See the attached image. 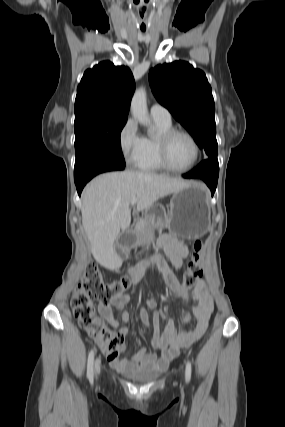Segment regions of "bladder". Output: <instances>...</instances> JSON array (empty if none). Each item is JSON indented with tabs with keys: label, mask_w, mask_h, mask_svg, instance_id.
I'll use <instances>...</instances> for the list:
<instances>
[{
	"label": "bladder",
	"mask_w": 285,
	"mask_h": 427,
	"mask_svg": "<svg viewBox=\"0 0 285 427\" xmlns=\"http://www.w3.org/2000/svg\"><path fill=\"white\" fill-rule=\"evenodd\" d=\"M160 375L159 372L143 373V374H134L127 373V376L136 383H148L156 379Z\"/></svg>",
	"instance_id": "1"
}]
</instances>
